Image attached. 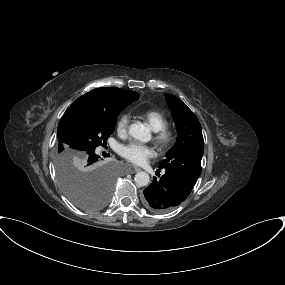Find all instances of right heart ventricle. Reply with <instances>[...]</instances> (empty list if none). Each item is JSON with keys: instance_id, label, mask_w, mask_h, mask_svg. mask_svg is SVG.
Masks as SVG:
<instances>
[{"instance_id": "1", "label": "right heart ventricle", "mask_w": 285, "mask_h": 285, "mask_svg": "<svg viewBox=\"0 0 285 285\" xmlns=\"http://www.w3.org/2000/svg\"><path fill=\"white\" fill-rule=\"evenodd\" d=\"M142 116L147 120L149 125L154 131H159L164 129L168 125V120L166 116L155 109H148L143 111Z\"/></svg>"}]
</instances>
